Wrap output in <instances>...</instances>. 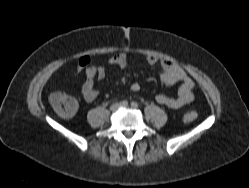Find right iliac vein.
Listing matches in <instances>:
<instances>
[{"label": "right iliac vein", "mask_w": 249, "mask_h": 188, "mask_svg": "<svg viewBox=\"0 0 249 188\" xmlns=\"http://www.w3.org/2000/svg\"><path fill=\"white\" fill-rule=\"evenodd\" d=\"M116 108H117V105H114V106L112 107L113 110L116 109Z\"/></svg>", "instance_id": "1"}]
</instances>
